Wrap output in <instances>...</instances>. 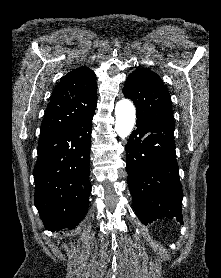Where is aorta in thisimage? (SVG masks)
<instances>
[{"instance_id":"aorta-1","label":"aorta","mask_w":221,"mask_h":278,"mask_svg":"<svg viewBox=\"0 0 221 278\" xmlns=\"http://www.w3.org/2000/svg\"><path fill=\"white\" fill-rule=\"evenodd\" d=\"M115 131L121 138L130 135L135 124V107L130 100L123 99L115 107Z\"/></svg>"}]
</instances>
